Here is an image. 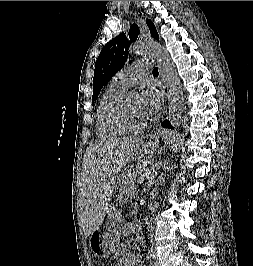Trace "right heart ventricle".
Returning <instances> with one entry per match:
<instances>
[{
  "mask_svg": "<svg viewBox=\"0 0 253 266\" xmlns=\"http://www.w3.org/2000/svg\"><path fill=\"white\" fill-rule=\"evenodd\" d=\"M125 86L117 81H113L103 92L96 111V132L100 139H113L123 135L125 132L115 128L108 121V110L123 91Z\"/></svg>",
  "mask_w": 253,
  "mask_h": 266,
  "instance_id": "obj_1",
  "label": "right heart ventricle"
}]
</instances>
